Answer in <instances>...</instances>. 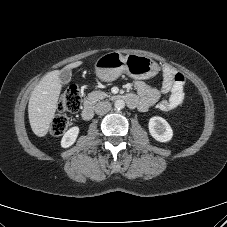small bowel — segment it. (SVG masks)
Here are the masks:
<instances>
[{
  "label": "small bowel",
  "instance_id": "obj_1",
  "mask_svg": "<svg viewBox=\"0 0 227 227\" xmlns=\"http://www.w3.org/2000/svg\"><path fill=\"white\" fill-rule=\"evenodd\" d=\"M185 78L182 74L176 73L171 66L163 68V80L160 88H154L143 81L135 84L138 93L137 107L141 112H146L154 105L162 112H170L176 109L184 99ZM167 97L161 99V95Z\"/></svg>",
  "mask_w": 227,
  "mask_h": 227
}]
</instances>
